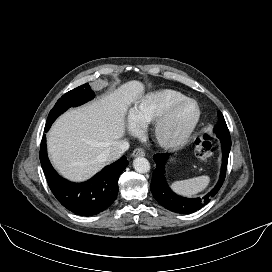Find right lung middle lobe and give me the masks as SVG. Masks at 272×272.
Segmentation results:
<instances>
[{"label":"right lung middle lobe","instance_id":"obj_1","mask_svg":"<svg viewBox=\"0 0 272 272\" xmlns=\"http://www.w3.org/2000/svg\"><path fill=\"white\" fill-rule=\"evenodd\" d=\"M94 96L95 94L90 89L88 83L67 92L57 101L53 109L50 111L45 127L49 128L54 120L68 108L84 104L94 98Z\"/></svg>","mask_w":272,"mask_h":272}]
</instances>
